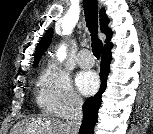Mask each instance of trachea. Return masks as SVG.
Wrapping results in <instances>:
<instances>
[{
    "mask_svg": "<svg viewBox=\"0 0 153 134\" xmlns=\"http://www.w3.org/2000/svg\"><path fill=\"white\" fill-rule=\"evenodd\" d=\"M83 7L85 12V21L91 33L92 38V52L97 59L100 58L103 43L98 39V5L96 0H83Z\"/></svg>",
    "mask_w": 153,
    "mask_h": 134,
    "instance_id": "3493384b",
    "label": "trachea"
}]
</instances>
